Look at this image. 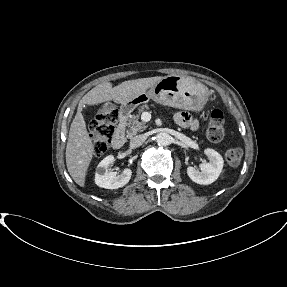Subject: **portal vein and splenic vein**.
<instances>
[{"label":"portal vein and splenic vein","instance_id":"18ae733b","mask_svg":"<svg viewBox=\"0 0 287 287\" xmlns=\"http://www.w3.org/2000/svg\"><path fill=\"white\" fill-rule=\"evenodd\" d=\"M142 119H143V121H145V122L150 121V119H151V114H150L149 112H143V114H142Z\"/></svg>","mask_w":287,"mask_h":287}]
</instances>
